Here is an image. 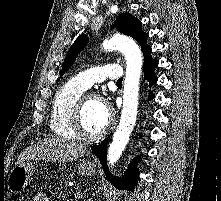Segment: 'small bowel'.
I'll use <instances>...</instances> for the list:
<instances>
[{"instance_id": "obj_1", "label": "small bowel", "mask_w": 221, "mask_h": 201, "mask_svg": "<svg viewBox=\"0 0 221 201\" xmlns=\"http://www.w3.org/2000/svg\"><path fill=\"white\" fill-rule=\"evenodd\" d=\"M32 201H52L51 198L45 193H39L34 196Z\"/></svg>"}]
</instances>
